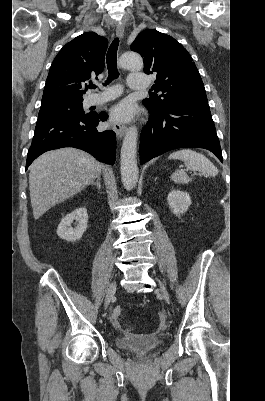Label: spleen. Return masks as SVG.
Returning <instances> with one entry per match:
<instances>
[{
    "mask_svg": "<svg viewBox=\"0 0 265 401\" xmlns=\"http://www.w3.org/2000/svg\"><path fill=\"white\" fill-rule=\"evenodd\" d=\"M168 158H179L183 160L187 170H198L204 176H216L218 174V168L214 166L213 162L206 158L201 152L191 150V148H182V150H175L171 152ZM173 182L176 184H188L192 178H189L185 170H175L170 176Z\"/></svg>",
    "mask_w": 265,
    "mask_h": 401,
    "instance_id": "1",
    "label": "spleen"
}]
</instances>
